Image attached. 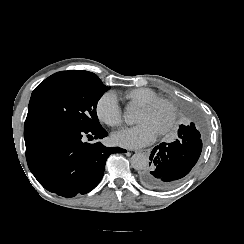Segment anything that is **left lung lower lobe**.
Segmentation results:
<instances>
[{
    "mask_svg": "<svg viewBox=\"0 0 244 244\" xmlns=\"http://www.w3.org/2000/svg\"><path fill=\"white\" fill-rule=\"evenodd\" d=\"M178 137L172 143L163 142L153 149L149 163L151 167L139 174L140 181L147 187L161 191L174 189L197 163L202 151L197 119L188 125L182 124Z\"/></svg>",
    "mask_w": 244,
    "mask_h": 244,
    "instance_id": "0a47b994",
    "label": "left lung lower lobe"
}]
</instances>
